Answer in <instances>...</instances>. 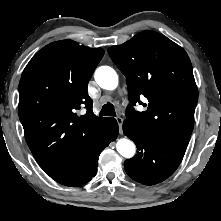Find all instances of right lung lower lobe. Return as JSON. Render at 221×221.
I'll list each match as a JSON object with an SVG mask.
<instances>
[{"instance_id":"1","label":"right lung lower lobe","mask_w":221,"mask_h":221,"mask_svg":"<svg viewBox=\"0 0 221 221\" xmlns=\"http://www.w3.org/2000/svg\"><path fill=\"white\" fill-rule=\"evenodd\" d=\"M118 136L114 118H106L97 132L74 153L45 171L52 179L66 186H78L91 180L97 173L101 151Z\"/></svg>"}]
</instances>
